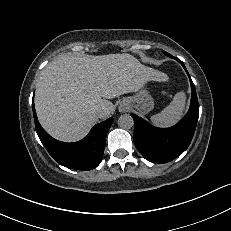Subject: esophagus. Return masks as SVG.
<instances>
[{
	"instance_id": "esophagus-1",
	"label": "esophagus",
	"mask_w": 231,
	"mask_h": 231,
	"mask_svg": "<svg viewBox=\"0 0 231 231\" xmlns=\"http://www.w3.org/2000/svg\"><path fill=\"white\" fill-rule=\"evenodd\" d=\"M126 110H127V107H126L125 105H121V106L119 107V111H120V112H126Z\"/></svg>"
}]
</instances>
